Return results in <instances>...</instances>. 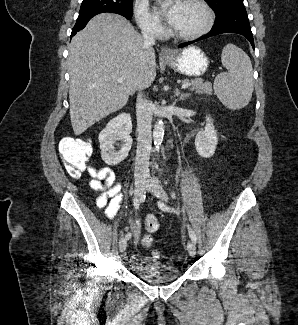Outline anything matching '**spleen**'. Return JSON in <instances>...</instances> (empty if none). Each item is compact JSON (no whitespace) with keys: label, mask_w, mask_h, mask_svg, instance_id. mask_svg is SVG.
Instances as JSON below:
<instances>
[{"label":"spleen","mask_w":298,"mask_h":325,"mask_svg":"<svg viewBox=\"0 0 298 325\" xmlns=\"http://www.w3.org/2000/svg\"><path fill=\"white\" fill-rule=\"evenodd\" d=\"M221 62L228 72H219L215 76L214 92L227 108H244L250 102L254 90L252 62L245 50L231 42L224 46Z\"/></svg>","instance_id":"1"}]
</instances>
